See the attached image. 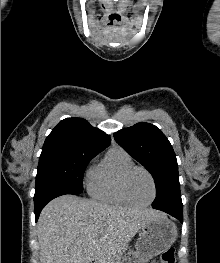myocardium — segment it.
Segmentation results:
<instances>
[{
    "label": "myocardium",
    "mask_w": 220,
    "mask_h": 263,
    "mask_svg": "<svg viewBox=\"0 0 220 263\" xmlns=\"http://www.w3.org/2000/svg\"><path fill=\"white\" fill-rule=\"evenodd\" d=\"M143 171L150 179L151 181V184H152V197L151 199L146 202V203H137L135 202L130 194H129V191H128V182H129V179L131 177V175L135 172V171ZM121 191H122V194L123 196L125 197V199L129 202V204L133 205V206H136V207H146V206H149L151 205L155 198H156V195H157V184H156V180L153 176V174L148 170L146 169L145 167H142V166H137V165H133L131 166L130 168H128L123 176H122V179H121Z\"/></svg>",
    "instance_id": "1"
}]
</instances>
